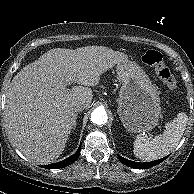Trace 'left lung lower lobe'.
<instances>
[{"mask_svg": "<svg viewBox=\"0 0 194 194\" xmlns=\"http://www.w3.org/2000/svg\"><path fill=\"white\" fill-rule=\"evenodd\" d=\"M168 156L152 161V162H144V163H140V162H134V161H130L127 160L125 158H123L122 156L118 155L119 160L126 166L128 167H132V168H136V169H147V168H151L153 166H156L158 164H160L161 162H163Z\"/></svg>", "mask_w": 194, "mask_h": 194, "instance_id": "1", "label": "left lung lower lobe"}]
</instances>
